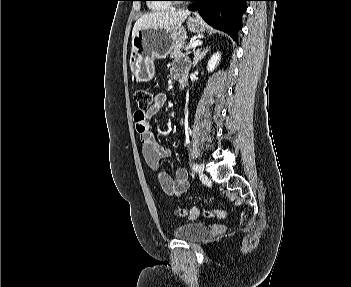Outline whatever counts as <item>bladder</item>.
<instances>
[{
    "mask_svg": "<svg viewBox=\"0 0 351 287\" xmlns=\"http://www.w3.org/2000/svg\"><path fill=\"white\" fill-rule=\"evenodd\" d=\"M207 226L200 222H188L179 225L173 235L187 241H197L207 234Z\"/></svg>",
    "mask_w": 351,
    "mask_h": 287,
    "instance_id": "bladder-1",
    "label": "bladder"
}]
</instances>
